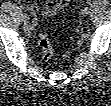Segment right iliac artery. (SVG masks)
<instances>
[{
  "label": "right iliac artery",
  "instance_id": "obj_1",
  "mask_svg": "<svg viewBox=\"0 0 111 106\" xmlns=\"http://www.w3.org/2000/svg\"><path fill=\"white\" fill-rule=\"evenodd\" d=\"M22 17L29 19V15H28V13H27L26 11H24V12L22 13Z\"/></svg>",
  "mask_w": 111,
  "mask_h": 106
}]
</instances>
